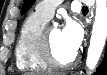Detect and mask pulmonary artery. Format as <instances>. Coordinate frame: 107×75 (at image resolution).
Masks as SVG:
<instances>
[{
	"label": "pulmonary artery",
	"instance_id": "e3ab8cb5",
	"mask_svg": "<svg viewBox=\"0 0 107 75\" xmlns=\"http://www.w3.org/2000/svg\"><path fill=\"white\" fill-rule=\"evenodd\" d=\"M62 2V0H45L36 6V12L47 20L54 15L55 9Z\"/></svg>",
	"mask_w": 107,
	"mask_h": 75
}]
</instances>
